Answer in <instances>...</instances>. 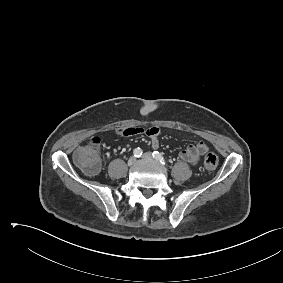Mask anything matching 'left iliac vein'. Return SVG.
Listing matches in <instances>:
<instances>
[{
	"label": "left iliac vein",
	"mask_w": 283,
	"mask_h": 283,
	"mask_svg": "<svg viewBox=\"0 0 283 283\" xmlns=\"http://www.w3.org/2000/svg\"><path fill=\"white\" fill-rule=\"evenodd\" d=\"M142 158H143V159H148V160L153 159L152 154H151L150 152L144 153L143 156H142Z\"/></svg>",
	"instance_id": "4c4485c4"
}]
</instances>
